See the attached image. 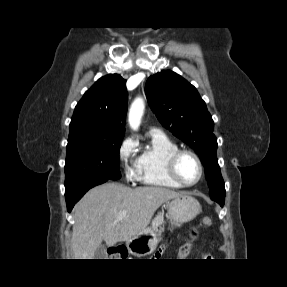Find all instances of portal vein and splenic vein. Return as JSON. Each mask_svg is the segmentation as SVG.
Returning a JSON list of instances; mask_svg holds the SVG:
<instances>
[{
  "instance_id": "18ae733b",
  "label": "portal vein and splenic vein",
  "mask_w": 287,
  "mask_h": 287,
  "mask_svg": "<svg viewBox=\"0 0 287 287\" xmlns=\"http://www.w3.org/2000/svg\"><path fill=\"white\" fill-rule=\"evenodd\" d=\"M127 215V212L126 211H123V212H120L118 214V220H122L123 218H125Z\"/></svg>"
}]
</instances>
